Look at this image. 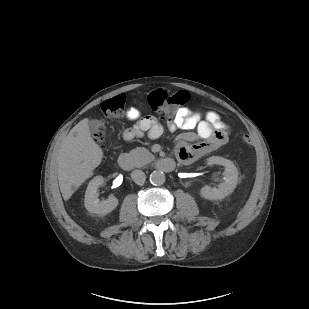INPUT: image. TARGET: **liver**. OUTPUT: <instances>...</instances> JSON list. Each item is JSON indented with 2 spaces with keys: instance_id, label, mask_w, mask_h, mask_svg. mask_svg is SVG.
<instances>
[{
  "instance_id": "liver-1",
  "label": "liver",
  "mask_w": 309,
  "mask_h": 309,
  "mask_svg": "<svg viewBox=\"0 0 309 309\" xmlns=\"http://www.w3.org/2000/svg\"><path fill=\"white\" fill-rule=\"evenodd\" d=\"M87 118L74 126L62 141L57 155L60 191L67 201L93 175L103 151L91 137Z\"/></svg>"
}]
</instances>
